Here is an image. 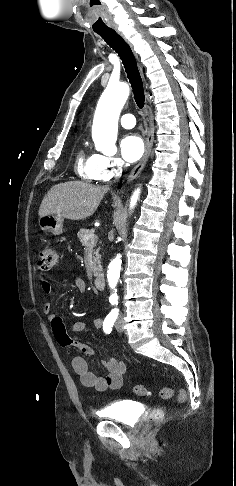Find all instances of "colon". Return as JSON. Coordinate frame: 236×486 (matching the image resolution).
Returning <instances> with one entry per match:
<instances>
[{
	"label": "colon",
	"instance_id": "obj_1",
	"mask_svg": "<svg viewBox=\"0 0 236 486\" xmlns=\"http://www.w3.org/2000/svg\"><path fill=\"white\" fill-rule=\"evenodd\" d=\"M59 260V252L52 246H45L41 249L39 253L38 266L42 270H50L53 268ZM134 392L138 396H148L149 390L143 385H137L134 388ZM175 390L171 387H165L160 390L159 396L162 399H169L173 397ZM177 398L179 402H183L186 399V393L183 389H179L177 393ZM164 417V412L160 408L152 410L149 415V422L157 423L161 421Z\"/></svg>",
	"mask_w": 236,
	"mask_h": 486
}]
</instances>
